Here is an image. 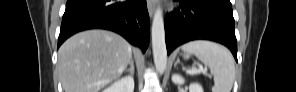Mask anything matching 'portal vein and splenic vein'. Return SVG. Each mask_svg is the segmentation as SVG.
Here are the masks:
<instances>
[{
    "label": "portal vein and splenic vein",
    "instance_id": "18ae733b",
    "mask_svg": "<svg viewBox=\"0 0 296 92\" xmlns=\"http://www.w3.org/2000/svg\"><path fill=\"white\" fill-rule=\"evenodd\" d=\"M207 68L199 67L192 70H187L188 74L206 73Z\"/></svg>",
    "mask_w": 296,
    "mask_h": 92
}]
</instances>
